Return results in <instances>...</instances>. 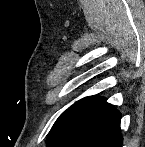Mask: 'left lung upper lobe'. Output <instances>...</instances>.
I'll list each match as a JSON object with an SVG mask.
<instances>
[{
  "mask_svg": "<svg viewBox=\"0 0 145 147\" xmlns=\"http://www.w3.org/2000/svg\"><path fill=\"white\" fill-rule=\"evenodd\" d=\"M81 101L82 100L75 102L71 107L61 114L48 134L47 143H53L61 137L72 120Z\"/></svg>",
  "mask_w": 145,
  "mask_h": 147,
  "instance_id": "5c2ea615",
  "label": "left lung upper lobe"
}]
</instances>
